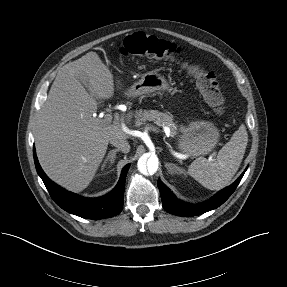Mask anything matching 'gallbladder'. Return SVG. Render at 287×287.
I'll return each mask as SVG.
<instances>
[{
  "label": "gallbladder",
  "instance_id": "obj_1",
  "mask_svg": "<svg viewBox=\"0 0 287 287\" xmlns=\"http://www.w3.org/2000/svg\"><path fill=\"white\" fill-rule=\"evenodd\" d=\"M81 81V83L87 88V85L86 84H84V82L82 81V80H80Z\"/></svg>",
  "mask_w": 287,
  "mask_h": 287
}]
</instances>
